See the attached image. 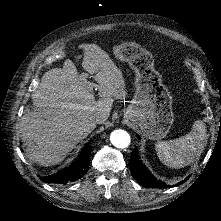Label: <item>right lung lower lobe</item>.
I'll return each mask as SVG.
<instances>
[{
	"mask_svg": "<svg viewBox=\"0 0 221 221\" xmlns=\"http://www.w3.org/2000/svg\"><path fill=\"white\" fill-rule=\"evenodd\" d=\"M91 147L86 145L78 159L68 168L57 172L54 175L40 177L46 183L67 184L82 178L89 169Z\"/></svg>",
	"mask_w": 221,
	"mask_h": 221,
	"instance_id": "1",
	"label": "right lung lower lobe"
}]
</instances>
